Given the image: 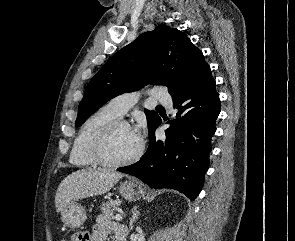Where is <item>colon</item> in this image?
<instances>
[{"instance_id":"1","label":"colon","mask_w":295,"mask_h":241,"mask_svg":"<svg viewBox=\"0 0 295 241\" xmlns=\"http://www.w3.org/2000/svg\"><path fill=\"white\" fill-rule=\"evenodd\" d=\"M86 240H87V237L85 236L84 232L76 233L72 237V241H86Z\"/></svg>"}]
</instances>
